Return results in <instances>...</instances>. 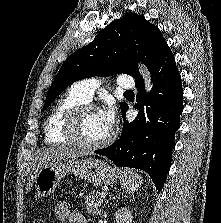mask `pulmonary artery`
Here are the masks:
<instances>
[{
	"instance_id": "obj_1",
	"label": "pulmonary artery",
	"mask_w": 221,
	"mask_h": 223,
	"mask_svg": "<svg viewBox=\"0 0 221 223\" xmlns=\"http://www.w3.org/2000/svg\"><path fill=\"white\" fill-rule=\"evenodd\" d=\"M117 83L120 87L125 89H132L134 87V81L130 77L121 76L117 79ZM101 85V81L98 78H86L75 82L71 89L81 96L84 100L90 101L93 97L95 89Z\"/></svg>"
}]
</instances>
